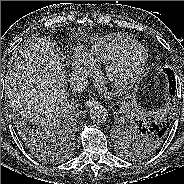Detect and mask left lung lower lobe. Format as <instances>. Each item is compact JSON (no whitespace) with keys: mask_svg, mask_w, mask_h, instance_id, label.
I'll list each match as a JSON object with an SVG mask.
<instances>
[{"mask_svg":"<svg viewBox=\"0 0 184 184\" xmlns=\"http://www.w3.org/2000/svg\"><path fill=\"white\" fill-rule=\"evenodd\" d=\"M165 73L168 76V81H169V92L172 96L175 95V90H176V81H175V75L173 70L171 69H165ZM139 120V119H138ZM147 125H148V130H151L154 134L160 136V137H165L169 135L170 129H171V120L169 121L168 119H163L161 121L155 120L154 118H151L150 120L146 119ZM131 127L127 130H124L125 137L128 139L129 142H131Z\"/></svg>","mask_w":184,"mask_h":184,"instance_id":"1","label":"left lung lower lobe"}]
</instances>
